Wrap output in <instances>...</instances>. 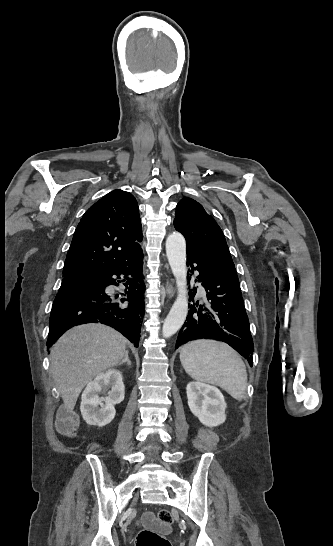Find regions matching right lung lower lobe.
<instances>
[{
    "mask_svg": "<svg viewBox=\"0 0 333 546\" xmlns=\"http://www.w3.org/2000/svg\"><path fill=\"white\" fill-rule=\"evenodd\" d=\"M142 265L141 253L122 266L63 280L50 314L48 349L71 327L99 322L118 330L138 347L144 316ZM120 275L124 279L120 280ZM120 282L125 291L110 295L107 287ZM118 296L121 298L116 300Z\"/></svg>",
    "mask_w": 333,
    "mask_h": 546,
    "instance_id": "98d812e1",
    "label": "right lung lower lobe"
}]
</instances>
